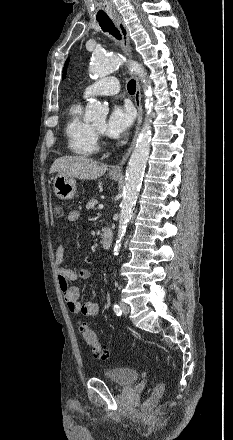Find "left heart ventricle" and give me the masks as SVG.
I'll return each instance as SVG.
<instances>
[{"mask_svg": "<svg viewBox=\"0 0 233 440\" xmlns=\"http://www.w3.org/2000/svg\"><path fill=\"white\" fill-rule=\"evenodd\" d=\"M93 125H94L95 127H97L98 129L104 131V130H105V119H101V120H99V121L93 123Z\"/></svg>", "mask_w": 233, "mask_h": 440, "instance_id": "obj_1", "label": "left heart ventricle"}]
</instances>
